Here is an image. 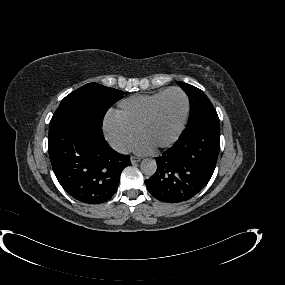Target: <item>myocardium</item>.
Returning a JSON list of instances; mask_svg holds the SVG:
<instances>
[{"mask_svg":"<svg viewBox=\"0 0 285 285\" xmlns=\"http://www.w3.org/2000/svg\"><path fill=\"white\" fill-rule=\"evenodd\" d=\"M171 92H179L183 97H184V100H185V113H184V116L182 118V121L179 125V128L176 132V134L174 135V137L167 143H164L160 146L157 147V150H163V149H167V148H170L172 147L178 140L179 138L181 137L184 129H185V126H186V123H187V120H188V117H189V113H190V100H189V97L188 95L186 94V92L184 90H182L181 88H178V87H171V88H168L166 89L161 95L160 97L155 101V103L152 105V107L150 108L147 116L145 117V119L142 121V123L140 124L139 128H138V136H141V133L143 132V130L146 128V126L152 121V119L154 118L156 112H157V109L159 107V105L161 104L162 100L164 99V97L171 93Z\"/></svg>","mask_w":285,"mask_h":285,"instance_id":"myocardium-1","label":"myocardium"}]
</instances>
